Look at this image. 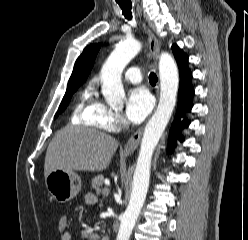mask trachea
I'll use <instances>...</instances> for the list:
<instances>
[{
  "label": "trachea",
  "mask_w": 248,
  "mask_h": 240,
  "mask_svg": "<svg viewBox=\"0 0 248 240\" xmlns=\"http://www.w3.org/2000/svg\"><path fill=\"white\" fill-rule=\"evenodd\" d=\"M117 3L119 4L120 8L122 9V13L125 16L126 19L131 20L132 19V3L129 0H117ZM158 78L155 73H150L149 75V81L152 84H155L157 82Z\"/></svg>",
  "instance_id": "1"
}]
</instances>
